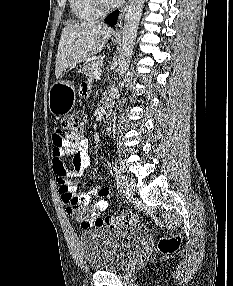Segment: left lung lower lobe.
I'll return each instance as SVG.
<instances>
[{
    "mask_svg": "<svg viewBox=\"0 0 233 286\" xmlns=\"http://www.w3.org/2000/svg\"><path fill=\"white\" fill-rule=\"evenodd\" d=\"M118 16H119V11H115L105 18V22L110 25H115L117 22Z\"/></svg>",
    "mask_w": 233,
    "mask_h": 286,
    "instance_id": "0a47b994",
    "label": "left lung lower lobe"
}]
</instances>
